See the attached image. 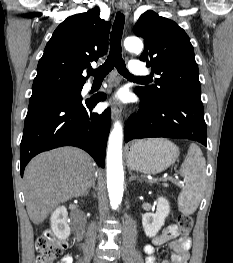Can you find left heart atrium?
<instances>
[{
    "label": "left heart atrium",
    "mask_w": 233,
    "mask_h": 263,
    "mask_svg": "<svg viewBox=\"0 0 233 263\" xmlns=\"http://www.w3.org/2000/svg\"><path fill=\"white\" fill-rule=\"evenodd\" d=\"M126 99V93L123 90L118 91L113 97V102H123Z\"/></svg>",
    "instance_id": "obj_1"
}]
</instances>
